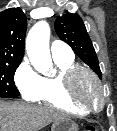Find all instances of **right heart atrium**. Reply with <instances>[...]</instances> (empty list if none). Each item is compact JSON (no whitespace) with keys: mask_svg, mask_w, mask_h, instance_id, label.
<instances>
[{"mask_svg":"<svg viewBox=\"0 0 117 131\" xmlns=\"http://www.w3.org/2000/svg\"><path fill=\"white\" fill-rule=\"evenodd\" d=\"M14 81L25 100L36 101L42 88L43 77L28 60L23 61L17 68Z\"/></svg>","mask_w":117,"mask_h":131,"instance_id":"obj_1","label":"right heart atrium"}]
</instances>
